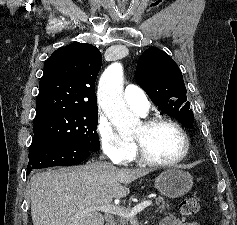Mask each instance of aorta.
I'll return each mask as SVG.
<instances>
[{"label": "aorta", "instance_id": "762f6f07", "mask_svg": "<svg viewBox=\"0 0 237 225\" xmlns=\"http://www.w3.org/2000/svg\"><path fill=\"white\" fill-rule=\"evenodd\" d=\"M98 102L119 134L132 132L139 119L132 114L123 99V67L115 62L108 66L98 84Z\"/></svg>", "mask_w": 237, "mask_h": 225}]
</instances>
